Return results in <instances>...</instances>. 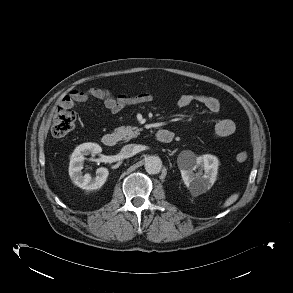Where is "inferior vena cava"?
I'll use <instances>...</instances> for the list:
<instances>
[{"mask_svg":"<svg viewBox=\"0 0 293 293\" xmlns=\"http://www.w3.org/2000/svg\"><path fill=\"white\" fill-rule=\"evenodd\" d=\"M138 152V148L136 145L134 144H128L125 145L122 149H121V154L125 157H131L133 155H135Z\"/></svg>","mask_w":293,"mask_h":293,"instance_id":"obj_1","label":"inferior vena cava"}]
</instances>
